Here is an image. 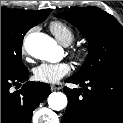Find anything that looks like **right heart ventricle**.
Wrapping results in <instances>:
<instances>
[{
	"label": "right heart ventricle",
	"instance_id": "obj_1",
	"mask_svg": "<svg viewBox=\"0 0 123 123\" xmlns=\"http://www.w3.org/2000/svg\"><path fill=\"white\" fill-rule=\"evenodd\" d=\"M50 30L53 35L63 44L70 45L74 41L73 30L64 22L56 20L51 22Z\"/></svg>",
	"mask_w": 123,
	"mask_h": 123
}]
</instances>
